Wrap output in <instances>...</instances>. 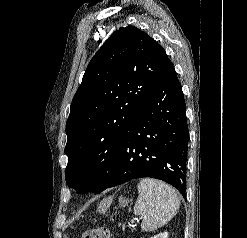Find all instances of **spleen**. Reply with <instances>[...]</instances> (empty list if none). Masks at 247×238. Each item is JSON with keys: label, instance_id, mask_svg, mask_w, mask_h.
I'll return each mask as SVG.
<instances>
[{"label": "spleen", "instance_id": "spleen-1", "mask_svg": "<svg viewBox=\"0 0 247 238\" xmlns=\"http://www.w3.org/2000/svg\"><path fill=\"white\" fill-rule=\"evenodd\" d=\"M134 213L142 215L141 228L145 232L155 231L169 222L177 213L180 200L170 185L151 178L140 180Z\"/></svg>", "mask_w": 247, "mask_h": 238}]
</instances>
